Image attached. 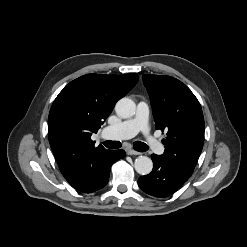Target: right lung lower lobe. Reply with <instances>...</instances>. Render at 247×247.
<instances>
[{"instance_id":"right-lung-lower-lobe-1","label":"right lung lower lobe","mask_w":247,"mask_h":247,"mask_svg":"<svg viewBox=\"0 0 247 247\" xmlns=\"http://www.w3.org/2000/svg\"><path fill=\"white\" fill-rule=\"evenodd\" d=\"M125 156L123 150H110L103 161L93 168L85 178L71 184V186L84 193H92L103 188L109 181L110 168L113 162Z\"/></svg>"}]
</instances>
